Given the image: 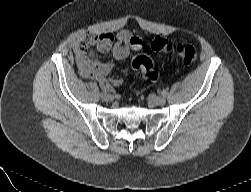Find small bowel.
Listing matches in <instances>:
<instances>
[{
    "label": "small bowel",
    "mask_w": 251,
    "mask_h": 192,
    "mask_svg": "<svg viewBox=\"0 0 251 192\" xmlns=\"http://www.w3.org/2000/svg\"><path fill=\"white\" fill-rule=\"evenodd\" d=\"M141 45V40L128 32H121L117 36L110 32L88 34L76 49L80 74L85 78L96 80L104 90L120 86L123 80L110 76L112 65L96 60L93 57V50L101 53L111 51L116 60H123L128 57L131 50H138Z\"/></svg>",
    "instance_id": "1"
}]
</instances>
